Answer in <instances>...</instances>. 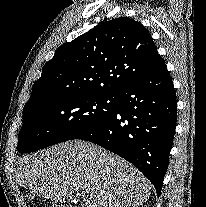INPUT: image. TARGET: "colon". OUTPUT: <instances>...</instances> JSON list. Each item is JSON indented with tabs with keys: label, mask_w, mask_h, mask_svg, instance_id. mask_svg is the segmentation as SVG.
<instances>
[{
	"label": "colon",
	"mask_w": 206,
	"mask_h": 207,
	"mask_svg": "<svg viewBox=\"0 0 206 207\" xmlns=\"http://www.w3.org/2000/svg\"><path fill=\"white\" fill-rule=\"evenodd\" d=\"M51 207H73V206H71V205H54Z\"/></svg>",
	"instance_id": "colon-1"
}]
</instances>
